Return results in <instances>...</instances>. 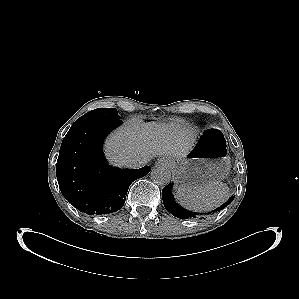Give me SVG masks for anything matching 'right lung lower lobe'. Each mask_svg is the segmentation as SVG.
<instances>
[{
	"mask_svg": "<svg viewBox=\"0 0 299 299\" xmlns=\"http://www.w3.org/2000/svg\"><path fill=\"white\" fill-rule=\"evenodd\" d=\"M121 120L74 124L61 144L56 175L62 195L88 215L109 214L121 209L129 186L150 171L119 169L108 165L102 152L106 135Z\"/></svg>",
	"mask_w": 299,
	"mask_h": 299,
	"instance_id": "98d812e1",
	"label": "right lung lower lobe"
}]
</instances>
